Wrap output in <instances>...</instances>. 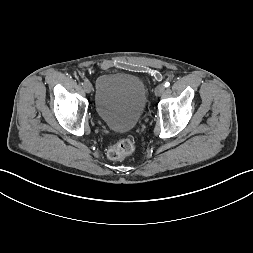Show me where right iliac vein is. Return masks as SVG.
I'll list each match as a JSON object with an SVG mask.
<instances>
[{
	"mask_svg": "<svg viewBox=\"0 0 253 253\" xmlns=\"http://www.w3.org/2000/svg\"><path fill=\"white\" fill-rule=\"evenodd\" d=\"M83 88H84V91H85L86 93H90V92L92 91V85H91V83L88 82V81L85 83V85L83 86Z\"/></svg>",
	"mask_w": 253,
	"mask_h": 253,
	"instance_id": "obj_1",
	"label": "right iliac vein"
}]
</instances>
